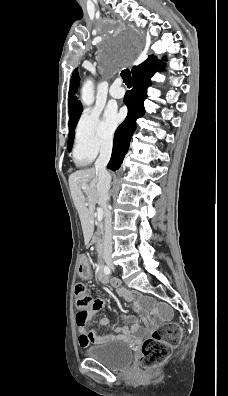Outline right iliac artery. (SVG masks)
<instances>
[{"mask_svg": "<svg viewBox=\"0 0 228 396\" xmlns=\"http://www.w3.org/2000/svg\"><path fill=\"white\" fill-rule=\"evenodd\" d=\"M105 274L109 275L111 273L110 268L108 266H104L103 268Z\"/></svg>", "mask_w": 228, "mask_h": 396, "instance_id": "1", "label": "right iliac artery"}]
</instances>
